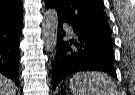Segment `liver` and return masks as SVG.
I'll use <instances>...</instances> for the list:
<instances>
[{"label":"liver","mask_w":135,"mask_h":95,"mask_svg":"<svg viewBox=\"0 0 135 95\" xmlns=\"http://www.w3.org/2000/svg\"><path fill=\"white\" fill-rule=\"evenodd\" d=\"M0 95H16L15 84L2 74H0Z\"/></svg>","instance_id":"6515ba94"}]
</instances>
